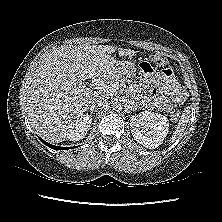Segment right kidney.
<instances>
[{
	"label": "right kidney",
	"mask_w": 222,
	"mask_h": 222,
	"mask_svg": "<svg viewBox=\"0 0 222 222\" xmlns=\"http://www.w3.org/2000/svg\"><path fill=\"white\" fill-rule=\"evenodd\" d=\"M92 118L89 115H83L77 118L69 127L67 131V138L69 141H79L87 134Z\"/></svg>",
	"instance_id": "right-kidney-1"
}]
</instances>
